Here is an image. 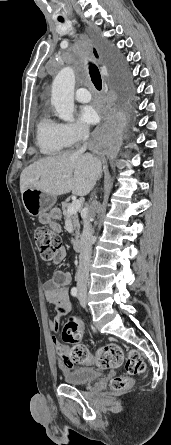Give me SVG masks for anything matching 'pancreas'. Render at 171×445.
<instances>
[{"instance_id":"1","label":"pancreas","mask_w":171,"mask_h":445,"mask_svg":"<svg viewBox=\"0 0 171 445\" xmlns=\"http://www.w3.org/2000/svg\"><path fill=\"white\" fill-rule=\"evenodd\" d=\"M70 204L63 202L62 203V211H63V216L64 219H70L72 221L73 227L75 229V239H72L71 242L74 243L76 240H78L79 236H80V224H79V218H78V214L74 213L72 215H68L67 210L69 208Z\"/></svg>"}]
</instances>
